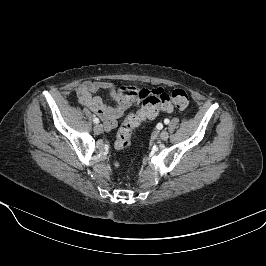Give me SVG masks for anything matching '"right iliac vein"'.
<instances>
[{
  "mask_svg": "<svg viewBox=\"0 0 266 266\" xmlns=\"http://www.w3.org/2000/svg\"><path fill=\"white\" fill-rule=\"evenodd\" d=\"M94 132H95L96 134H101V133L103 132V127H102V125H100V124H96V125L94 126Z\"/></svg>",
  "mask_w": 266,
  "mask_h": 266,
  "instance_id": "obj_1",
  "label": "right iliac vein"
}]
</instances>
